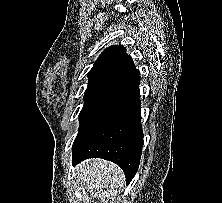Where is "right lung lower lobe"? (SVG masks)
Returning <instances> with one entry per match:
<instances>
[{
	"label": "right lung lower lobe",
	"mask_w": 222,
	"mask_h": 203,
	"mask_svg": "<svg viewBox=\"0 0 222 203\" xmlns=\"http://www.w3.org/2000/svg\"><path fill=\"white\" fill-rule=\"evenodd\" d=\"M139 84L140 76L81 122L72 146L73 165L102 158L119 165L127 183L133 179L143 146Z\"/></svg>",
	"instance_id": "98d812e1"
}]
</instances>
